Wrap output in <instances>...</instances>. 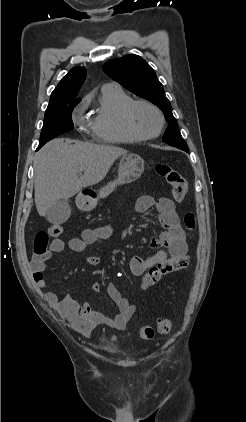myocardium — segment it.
<instances>
[{"label": "myocardium", "instance_id": "1", "mask_svg": "<svg viewBox=\"0 0 246 422\" xmlns=\"http://www.w3.org/2000/svg\"><path fill=\"white\" fill-rule=\"evenodd\" d=\"M144 105L153 109L159 116L160 124L158 129L151 134H144L139 131L133 122V112L137 106ZM122 120L127 131L138 140H150L158 137L165 127V116L162 110L154 103L147 100H133L125 106L122 111Z\"/></svg>", "mask_w": 246, "mask_h": 422}]
</instances>
